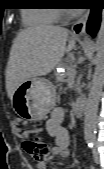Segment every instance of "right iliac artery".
<instances>
[{
  "label": "right iliac artery",
  "instance_id": "right-iliac-artery-1",
  "mask_svg": "<svg viewBox=\"0 0 104 169\" xmlns=\"http://www.w3.org/2000/svg\"><path fill=\"white\" fill-rule=\"evenodd\" d=\"M93 145H94V141H93V140H89V141H88V146H89L90 148H93Z\"/></svg>",
  "mask_w": 104,
  "mask_h": 169
}]
</instances>
